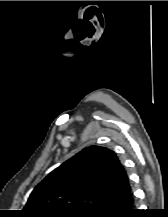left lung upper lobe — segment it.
Here are the masks:
<instances>
[{
    "mask_svg": "<svg viewBox=\"0 0 168 217\" xmlns=\"http://www.w3.org/2000/svg\"><path fill=\"white\" fill-rule=\"evenodd\" d=\"M128 184L114 152L90 146L49 173L23 210L28 217H97L105 203Z\"/></svg>",
    "mask_w": 168,
    "mask_h": 217,
    "instance_id": "obj_1",
    "label": "left lung upper lobe"
}]
</instances>
